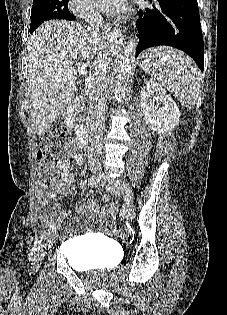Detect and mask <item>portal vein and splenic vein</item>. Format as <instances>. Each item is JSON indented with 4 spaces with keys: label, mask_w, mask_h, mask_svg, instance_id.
<instances>
[{
    "label": "portal vein and splenic vein",
    "mask_w": 227,
    "mask_h": 315,
    "mask_svg": "<svg viewBox=\"0 0 227 315\" xmlns=\"http://www.w3.org/2000/svg\"><path fill=\"white\" fill-rule=\"evenodd\" d=\"M78 73L85 77L86 88H87V91H89V89L92 87L93 78L91 76H87L88 71L85 64H82V65L80 64L78 66Z\"/></svg>",
    "instance_id": "18ae733b"
}]
</instances>
